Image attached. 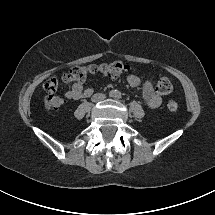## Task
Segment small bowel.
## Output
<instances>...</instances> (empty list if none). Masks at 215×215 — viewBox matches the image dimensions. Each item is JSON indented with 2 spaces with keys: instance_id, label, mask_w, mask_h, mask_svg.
Wrapping results in <instances>:
<instances>
[{
  "instance_id": "c3829d8e",
  "label": "small bowel",
  "mask_w": 215,
  "mask_h": 215,
  "mask_svg": "<svg viewBox=\"0 0 215 215\" xmlns=\"http://www.w3.org/2000/svg\"><path fill=\"white\" fill-rule=\"evenodd\" d=\"M128 85L132 88L138 87L141 83L137 75L131 74L127 78ZM93 93L92 88H85L82 83H74L72 88L66 93L67 99H82L90 97ZM142 96L145 104L151 108L156 109L161 104V97L155 92L153 85L150 81H145L142 86Z\"/></svg>"
}]
</instances>
